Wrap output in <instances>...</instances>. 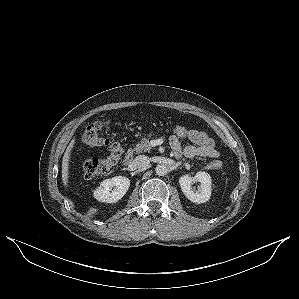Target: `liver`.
<instances>
[{"mask_svg": "<svg viewBox=\"0 0 299 299\" xmlns=\"http://www.w3.org/2000/svg\"><path fill=\"white\" fill-rule=\"evenodd\" d=\"M74 144H75V139L71 140L62 158V183L65 187L68 186L69 161H70V155H71L72 148L74 147Z\"/></svg>", "mask_w": 299, "mask_h": 299, "instance_id": "obj_1", "label": "liver"}]
</instances>
